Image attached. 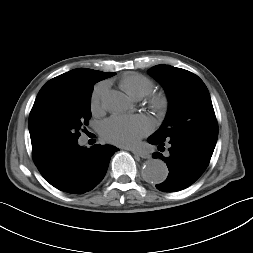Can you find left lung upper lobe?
<instances>
[{
    "instance_id": "obj_1",
    "label": "left lung upper lobe",
    "mask_w": 253,
    "mask_h": 253,
    "mask_svg": "<svg viewBox=\"0 0 253 253\" xmlns=\"http://www.w3.org/2000/svg\"><path fill=\"white\" fill-rule=\"evenodd\" d=\"M149 73L162 84L169 101L166 118L151 137L167 140L186 134H199L217 140L218 125L211 98L197 75L169 65H157Z\"/></svg>"
}]
</instances>
